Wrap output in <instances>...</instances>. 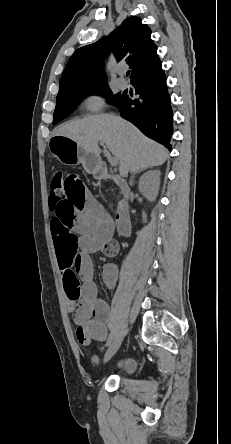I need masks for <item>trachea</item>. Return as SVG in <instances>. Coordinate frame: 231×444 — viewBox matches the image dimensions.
<instances>
[{
  "label": "trachea",
  "mask_w": 231,
  "mask_h": 444,
  "mask_svg": "<svg viewBox=\"0 0 231 444\" xmlns=\"http://www.w3.org/2000/svg\"><path fill=\"white\" fill-rule=\"evenodd\" d=\"M130 74V71H127L126 75L128 76Z\"/></svg>",
  "instance_id": "trachea-1"
}]
</instances>
